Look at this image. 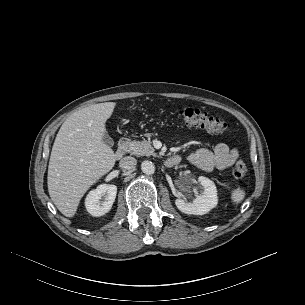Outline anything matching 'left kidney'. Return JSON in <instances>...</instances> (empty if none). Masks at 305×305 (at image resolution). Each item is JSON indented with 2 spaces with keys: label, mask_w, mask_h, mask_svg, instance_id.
<instances>
[{
  "label": "left kidney",
  "mask_w": 305,
  "mask_h": 305,
  "mask_svg": "<svg viewBox=\"0 0 305 305\" xmlns=\"http://www.w3.org/2000/svg\"><path fill=\"white\" fill-rule=\"evenodd\" d=\"M198 182L204 189L202 195L196 196L191 202L181 198L175 200L177 208L185 214L204 215L217 206L218 196L214 182L204 176H200Z\"/></svg>",
  "instance_id": "left-kidney-1"
}]
</instances>
